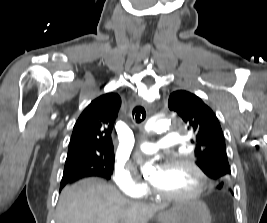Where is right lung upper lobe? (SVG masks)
I'll return each instance as SVG.
<instances>
[{
	"label": "right lung upper lobe",
	"instance_id": "obj_1",
	"mask_svg": "<svg viewBox=\"0 0 267 223\" xmlns=\"http://www.w3.org/2000/svg\"><path fill=\"white\" fill-rule=\"evenodd\" d=\"M120 106V96L107 93L85 108L73 128L66 161L113 155L111 133Z\"/></svg>",
	"mask_w": 267,
	"mask_h": 223
}]
</instances>
